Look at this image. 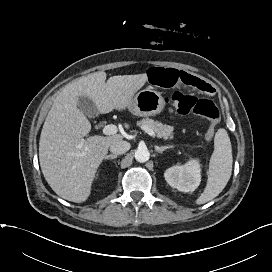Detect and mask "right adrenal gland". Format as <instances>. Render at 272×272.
<instances>
[{
  "mask_svg": "<svg viewBox=\"0 0 272 272\" xmlns=\"http://www.w3.org/2000/svg\"><path fill=\"white\" fill-rule=\"evenodd\" d=\"M115 158H117V155H115V154H110V155L105 156V160L106 159H115Z\"/></svg>",
  "mask_w": 272,
  "mask_h": 272,
  "instance_id": "right-adrenal-gland-1",
  "label": "right adrenal gland"
}]
</instances>
